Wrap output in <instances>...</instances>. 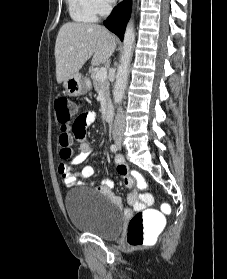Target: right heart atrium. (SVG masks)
I'll list each match as a JSON object with an SVG mask.
<instances>
[{
	"mask_svg": "<svg viewBox=\"0 0 227 279\" xmlns=\"http://www.w3.org/2000/svg\"><path fill=\"white\" fill-rule=\"evenodd\" d=\"M109 1L110 0H88V3L96 15H102L108 11Z\"/></svg>",
	"mask_w": 227,
	"mask_h": 279,
	"instance_id": "right-heart-atrium-1",
	"label": "right heart atrium"
}]
</instances>
